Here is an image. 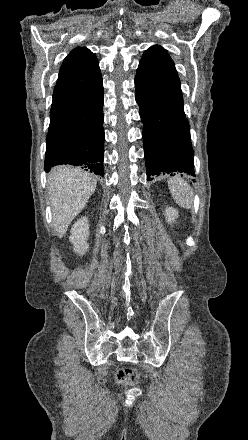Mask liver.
I'll use <instances>...</instances> for the list:
<instances>
[{
	"mask_svg": "<svg viewBox=\"0 0 248 440\" xmlns=\"http://www.w3.org/2000/svg\"><path fill=\"white\" fill-rule=\"evenodd\" d=\"M97 185L96 178L80 168L59 166L48 177L53 227L61 238L73 219L83 210Z\"/></svg>",
	"mask_w": 248,
	"mask_h": 440,
	"instance_id": "1",
	"label": "liver"
}]
</instances>
